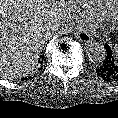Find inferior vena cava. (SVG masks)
<instances>
[{"mask_svg": "<svg viewBox=\"0 0 118 118\" xmlns=\"http://www.w3.org/2000/svg\"><path fill=\"white\" fill-rule=\"evenodd\" d=\"M51 29H52L53 32H59V30L61 29V27L58 26V25H53Z\"/></svg>", "mask_w": 118, "mask_h": 118, "instance_id": "inferior-vena-cava-1", "label": "inferior vena cava"}]
</instances>
